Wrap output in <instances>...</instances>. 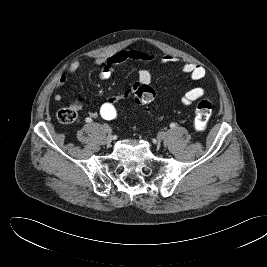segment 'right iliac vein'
Returning a JSON list of instances; mask_svg holds the SVG:
<instances>
[{
  "label": "right iliac vein",
  "instance_id": "obj_1",
  "mask_svg": "<svg viewBox=\"0 0 267 267\" xmlns=\"http://www.w3.org/2000/svg\"><path fill=\"white\" fill-rule=\"evenodd\" d=\"M103 129L108 134L107 141L108 145H110L112 141L111 128L108 125H104Z\"/></svg>",
  "mask_w": 267,
  "mask_h": 267
}]
</instances>
